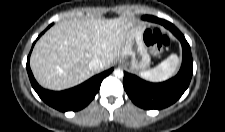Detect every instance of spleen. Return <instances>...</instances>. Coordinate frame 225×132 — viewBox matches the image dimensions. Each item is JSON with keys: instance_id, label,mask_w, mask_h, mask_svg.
<instances>
[{"instance_id": "spleen-1", "label": "spleen", "mask_w": 225, "mask_h": 132, "mask_svg": "<svg viewBox=\"0 0 225 132\" xmlns=\"http://www.w3.org/2000/svg\"><path fill=\"white\" fill-rule=\"evenodd\" d=\"M179 64V57L172 54L155 68L140 72V77L153 83L163 82L175 75Z\"/></svg>"}]
</instances>
